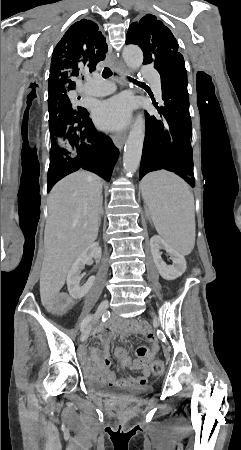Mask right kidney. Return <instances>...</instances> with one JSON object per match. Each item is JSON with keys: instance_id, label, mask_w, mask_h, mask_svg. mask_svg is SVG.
<instances>
[{"instance_id": "ca27d5eb", "label": "right kidney", "mask_w": 241, "mask_h": 450, "mask_svg": "<svg viewBox=\"0 0 241 450\" xmlns=\"http://www.w3.org/2000/svg\"><path fill=\"white\" fill-rule=\"evenodd\" d=\"M101 254V248L98 242H95V244H91V246L85 248V250L77 256L74 264H72L67 276V288L71 298H74V300H81L83 296L88 294L90 288H92L95 280L94 276L88 278L84 286H79V282L82 278L81 270H84L85 264H89L92 258H94L96 262H99Z\"/></svg>"}]
</instances>
